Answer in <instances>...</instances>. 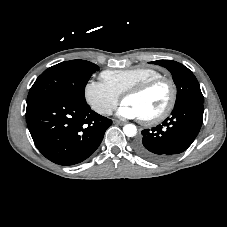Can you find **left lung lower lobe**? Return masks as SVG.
Wrapping results in <instances>:
<instances>
[{"instance_id":"0a47b994","label":"left lung lower lobe","mask_w":227,"mask_h":227,"mask_svg":"<svg viewBox=\"0 0 227 227\" xmlns=\"http://www.w3.org/2000/svg\"><path fill=\"white\" fill-rule=\"evenodd\" d=\"M202 101L189 100L174 106L171 116L152 129H144L134 144L144 159L161 162L185 151L198 135L204 106Z\"/></svg>"}]
</instances>
